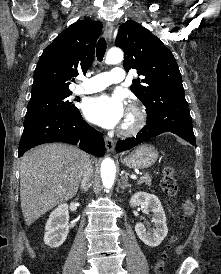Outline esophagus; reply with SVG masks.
<instances>
[{
  "instance_id": "34e87169",
  "label": "esophagus",
  "mask_w": 221,
  "mask_h": 274,
  "mask_svg": "<svg viewBox=\"0 0 221 274\" xmlns=\"http://www.w3.org/2000/svg\"><path fill=\"white\" fill-rule=\"evenodd\" d=\"M113 32V24L111 22H107L104 27V36L106 39H110ZM105 147L108 152H113L115 149V141L109 137L104 138Z\"/></svg>"
}]
</instances>
